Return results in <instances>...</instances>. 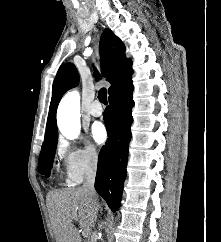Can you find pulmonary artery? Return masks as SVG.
Instances as JSON below:
<instances>
[{
  "label": "pulmonary artery",
  "instance_id": "obj_1",
  "mask_svg": "<svg viewBox=\"0 0 221 242\" xmlns=\"http://www.w3.org/2000/svg\"><path fill=\"white\" fill-rule=\"evenodd\" d=\"M89 113L93 117H99V116L102 115L103 109H102L101 104L98 100H95L91 104L90 109H89Z\"/></svg>",
  "mask_w": 221,
  "mask_h": 242
}]
</instances>
